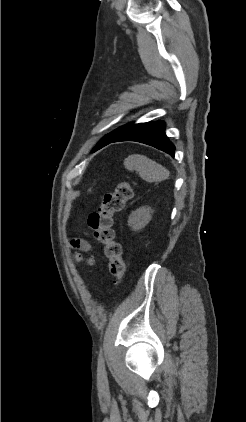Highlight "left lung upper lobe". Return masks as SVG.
<instances>
[{"label": "left lung upper lobe", "mask_w": 246, "mask_h": 422, "mask_svg": "<svg viewBox=\"0 0 246 422\" xmlns=\"http://www.w3.org/2000/svg\"><path fill=\"white\" fill-rule=\"evenodd\" d=\"M133 124H127L124 126H121L119 128H117L116 130L110 132L109 134L105 135L100 141L99 143L95 146V148L93 149V151H96L97 148L102 145L103 143L109 141V140H113L115 138H117L118 136H120L123 132H125L128 128H130Z\"/></svg>", "instance_id": "obj_1"}]
</instances>
